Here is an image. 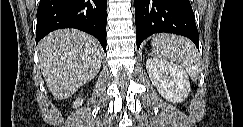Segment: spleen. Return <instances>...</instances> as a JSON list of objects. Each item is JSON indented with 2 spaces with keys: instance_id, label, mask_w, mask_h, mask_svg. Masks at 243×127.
<instances>
[{
  "instance_id": "3e777b00",
  "label": "spleen",
  "mask_w": 243,
  "mask_h": 127,
  "mask_svg": "<svg viewBox=\"0 0 243 127\" xmlns=\"http://www.w3.org/2000/svg\"><path fill=\"white\" fill-rule=\"evenodd\" d=\"M155 57L182 65L193 81L199 76V55L195 45L187 38L162 34L152 41Z\"/></svg>"
}]
</instances>
